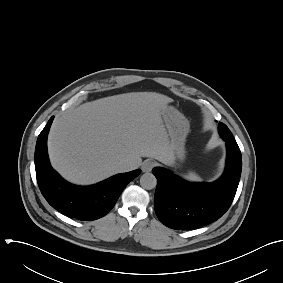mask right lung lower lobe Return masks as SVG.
I'll return each instance as SVG.
<instances>
[{
	"instance_id": "98d812e1",
	"label": "right lung lower lobe",
	"mask_w": 283,
	"mask_h": 283,
	"mask_svg": "<svg viewBox=\"0 0 283 283\" xmlns=\"http://www.w3.org/2000/svg\"><path fill=\"white\" fill-rule=\"evenodd\" d=\"M51 117L38 136L35 149L36 177L47 202L60 213L79 220H96L115 205L126 185L137 177L140 169L115 175L92 186H76L62 179L51 167L47 154V135Z\"/></svg>"
}]
</instances>
